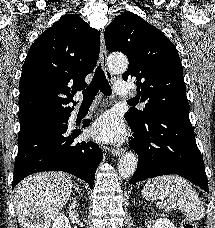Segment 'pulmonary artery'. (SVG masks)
<instances>
[{
  "instance_id": "e3ab8cb5",
  "label": "pulmonary artery",
  "mask_w": 215,
  "mask_h": 228,
  "mask_svg": "<svg viewBox=\"0 0 215 228\" xmlns=\"http://www.w3.org/2000/svg\"><path fill=\"white\" fill-rule=\"evenodd\" d=\"M113 89H117L119 96H134L136 94L134 84H126L125 82H114L112 85ZM145 106V103L142 104Z\"/></svg>"
}]
</instances>
